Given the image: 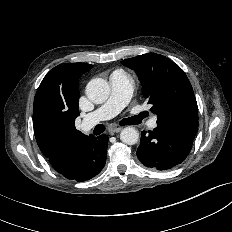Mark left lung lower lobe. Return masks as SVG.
<instances>
[{"label": "left lung lower lobe", "instance_id": "0a47b994", "mask_svg": "<svg viewBox=\"0 0 232 232\" xmlns=\"http://www.w3.org/2000/svg\"><path fill=\"white\" fill-rule=\"evenodd\" d=\"M198 120L168 118L157 121L153 131H142L137 157L146 167L168 170L182 163L188 156Z\"/></svg>", "mask_w": 232, "mask_h": 232}]
</instances>
